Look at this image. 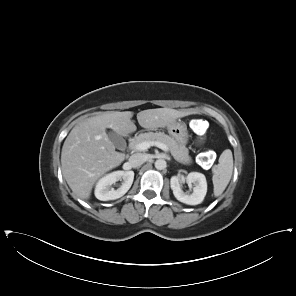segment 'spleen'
I'll use <instances>...</instances> for the list:
<instances>
[{
  "label": "spleen",
  "mask_w": 296,
  "mask_h": 296,
  "mask_svg": "<svg viewBox=\"0 0 296 296\" xmlns=\"http://www.w3.org/2000/svg\"><path fill=\"white\" fill-rule=\"evenodd\" d=\"M233 172V155L230 149L222 152L218 165L213 169L214 195L220 196L230 182Z\"/></svg>",
  "instance_id": "1"
}]
</instances>
